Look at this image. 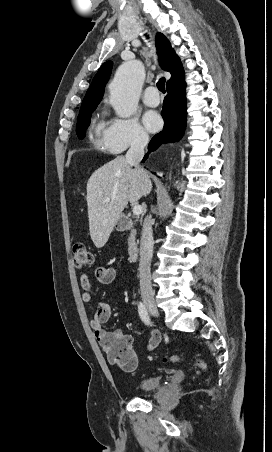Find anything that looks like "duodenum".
Instances as JSON below:
<instances>
[{"instance_id": "1", "label": "duodenum", "mask_w": 272, "mask_h": 452, "mask_svg": "<svg viewBox=\"0 0 272 452\" xmlns=\"http://www.w3.org/2000/svg\"><path fill=\"white\" fill-rule=\"evenodd\" d=\"M132 228V222L127 217H123L120 222L119 229L121 231H127ZM128 257L130 260L135 261L139 255V246L136 242H131L127 249Z\"/></svg>"}]
</instances>
